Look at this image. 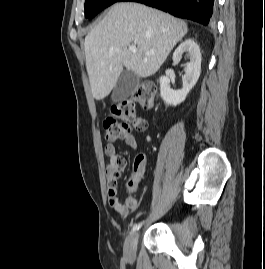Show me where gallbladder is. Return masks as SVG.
<instances>
[{
  "label": "gallbladder",
  "instance_id": "obj_1",
  "mask_svg": "<svg viewBox=\"0 0 265 269\" xmlns=\"http://www.w3.org/2000/svg\"><path fill=\"white\" fill-rule=\"evenodd\" d=\"M139 84V77L130 70H123L113 89L111 98L113 102H121L132 95Z\"/></svg>",
  "mask_w": 265,
  "mask_h": 269
}]
</instances>
